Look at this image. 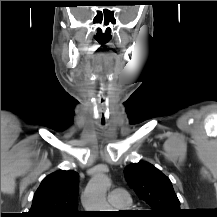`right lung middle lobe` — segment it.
I'll use <instances>...</instances> for the list:
<instances>
[{
	"label": "right lung middle lobe",
	"mask_w": 217,
	"mask_h": 217,
	"mask_svg": "<svg viewBox=\"0 0 217 217\" xmlns=\"http://www.w3.org/2000/svg\"><path fill=\"white\" fill-rule=\"evenodd\" d=\"M64 217H77V216H74V215H66Z\"/></svg>",
	"instance_id": "1"
}]
</instances>
